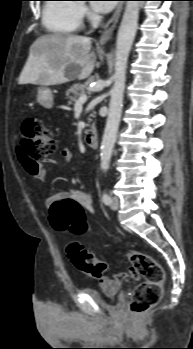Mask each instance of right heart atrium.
<instances>
[{
  "label": "right heart atrium",
  "instance_id": "obj_1",
  "mask_svg": "<svg viewBox=\"0 0 193 349\" xmlns=\"http://www.w3.org/2000/svg\"><path fill=\"white\" fill-rule=\"evenodd\" d=\"M79 13H80L81 17H88L89 16V11L86 8V6L83 4H79Z\"/></svg>",
  "mask_w": 193,
  "mask_h": 349
}]
</instances>
